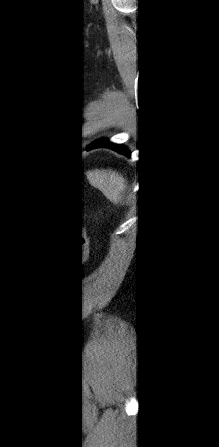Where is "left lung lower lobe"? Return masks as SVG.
<instances>
[{"mask_svg":"<svg viewBox=\"0 0 219 447\" xmlns=\"http://www.w3.org/2000/svg\"><path fill=\"white\" fill-rule=\"evenodd\" d=\"M99 147H108L111 148L121 154L127 155L129 156V149L123 145V144H113L110 143L107 139H98L92 143H90L87 147L86 150H90V149H95V148H99Z\"/></svg>","mask_w":219,"mask_h":447,"instance_id":"obj_1","label":"left lung lower lobe"}]
</instances>
